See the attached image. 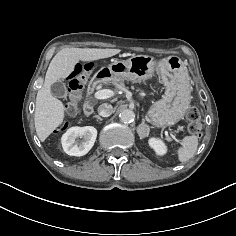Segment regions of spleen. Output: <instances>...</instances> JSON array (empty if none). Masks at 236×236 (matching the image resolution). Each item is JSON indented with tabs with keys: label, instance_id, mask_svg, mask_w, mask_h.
I'll return each mask as SVG.
<instances>
[{
	"label": "spleen",
	"instance_id": "spleen-1",
	"mask_svg": "<svg viewBox=\"0 0 236 236\" xmlns=\"http://www.w3.org/2000/svg\"><path fill=\"white\" fill-rule=\"evenodd\" d=\"M181 147L177 150L178 160L186 162L192 158L198 147V138L195 135L186 136L181 142Z\"/></svg>",
	"mask_w": 236,
	"mask_h": 236
}]
</instances>
